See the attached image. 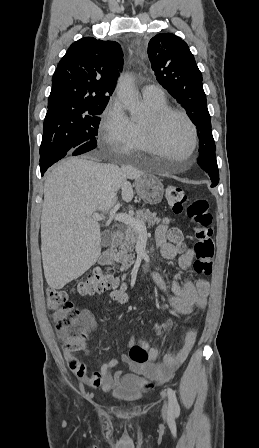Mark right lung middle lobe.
I'll list each match as a JSON object with an SVG mask.
<instances>
[{"label": "right lung middle lobe", "mask_w": 259, "mask_h": 448, "mask_svg": "<svg viewBox=\"0 0 259 448\" xmlns=\"http://www.w3.org/2000/svg\"><path fill=\"white\" fill-rule=\"evenodd\" d=\"M106 106L67 114L47 113L44 120L40 156L67 152L80 155L94 149L100 114Z\"/></svg>", "instance_id": "dd1d6c3e"}]
</instances>
